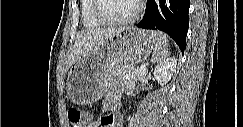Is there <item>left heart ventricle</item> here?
<instances>
[{"label": "left heart ventricle", "instance_id": "left-heart-ventricle-1", "mask_svg": "<svg viewBox=\"0 0 243 127\" xmlns=\"http://www.w3.org/2000/svg\"><path fill=\"white\" fill-rule=\"evenodd\" d=\"M101 8L107 17L122 19L134 13L136 0H101Z\"/></svg>", "mask_w": 243, "mask_h": 127}]
</instances>
